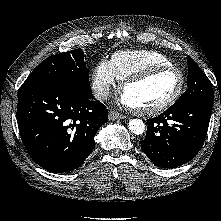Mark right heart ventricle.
I'll use <instances>...</instances> for the list:
<instances>
[{"instance_id":"1","label":"right heart ventricle","mask_w":221,"mask_h":221,"mask_svg":"<svg viewBox=\"0 0 221 221\" xmlns=\"http://www.w3.org/2000/svg\"><path fill=\"white\" fill-rule=\"evenodd\" d=\"M117 80L154 66L173 65L165 55L152 50H125L114 53L109 61Z\"/></svg>"}]
</instances>
